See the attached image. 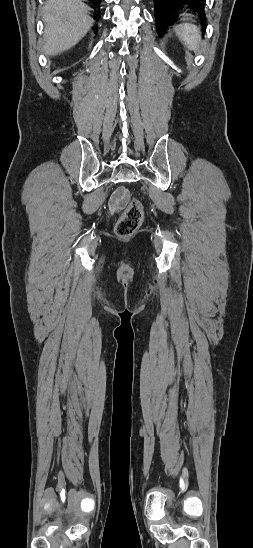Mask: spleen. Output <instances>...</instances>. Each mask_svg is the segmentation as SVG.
Segmentation results:
<instances>
[{"instance_id":"1","label":"spleen","mask_w":253,"mask_h":548,"mask_svg":"<svg viewBox=\"0 0 253 548\" xmlns=\"http://www.w3.org/2000/svg\"><path fill=\"white\" fill-rule=\"evenodd\" d=\"M177 35L184 41L189 50H196L201 42L200 29L193 24L183 23L175 27Z\"/></svg>"}]
</instances>
